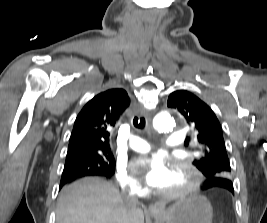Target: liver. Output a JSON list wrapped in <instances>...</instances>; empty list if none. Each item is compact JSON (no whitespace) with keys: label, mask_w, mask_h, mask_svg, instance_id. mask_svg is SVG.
Returning <instances> with one entry per match:
<instances>
[{"label":"liver","mask_w":267,"mask_h":223,"mask_svg":"<svg viewBox=\"0 0 267 223\" xmlns=\"http://www.w3.org/2000/svg\"><path fill=\"white\" fill-rule=\"evenodd\" d=\"M56 223H144V213L138 204H127L113 184L88 177L62 189Z\"/></svg>","instance_id":"obj_1"}]
</instances>
